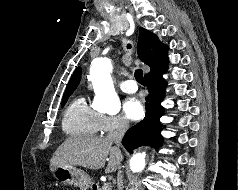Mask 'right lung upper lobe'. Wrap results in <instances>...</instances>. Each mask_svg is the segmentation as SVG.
Returning <instances> with one entry per match:
<instances>
[{
    "label": "right lung upper lobe",
    "mask_w": 238,
    "mask_h": 190,
    "mask_svg": "<svg viewBox=\"0 0 238 190\" xmlns=\"http://www.w3.org/2000/svg\"><path fill=\"white\" fill-rule=\"evenodd\" d=\"M137 50L139 58L151 68V71L145 77L160 71L168 64V47L162 44L156 35L142 27H140ZM80 76L81 68L78 67L67 85L65 94L73 93L79 84Z\"/></svg>",
    "instance_id": "1"
}]
</instances>
